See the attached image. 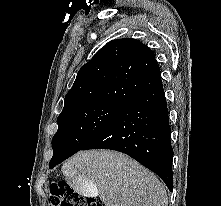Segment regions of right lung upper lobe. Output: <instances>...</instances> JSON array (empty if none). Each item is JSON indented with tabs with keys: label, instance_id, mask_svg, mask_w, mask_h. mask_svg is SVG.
I'll return each instance as SVG.
<instances>
[{
	"label": "right lung upper lobe",
	"instance_id": "right-lung-upper-lobe-1",
	"mask_svg": "<svg viewBox=\"0 0 221 206\" xmlns=\"http://www.w3.org/2000/svg\"><path fill=\"white\" fill-rule=\"evenodd\" d=\"M159 82L152 50L135 39H117L81 67L62 112L94 103L125 107Z\"/></svg>",
	"mask_w": 221,
	"mask_h": 206
}]
</instances>
